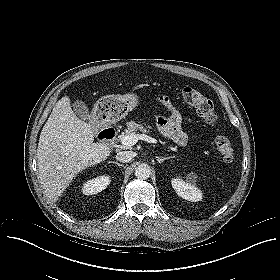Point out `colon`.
Returning a JSON list of instances; mask_svg holds the SVG:
<instances>
[{
    "label": "colon",
    "instance_id": "obj_1",
    "mask_svg": "<svg viewBox=\"0 0 280 280\" xmlns=\"http://www.w3.org/2000/svg\"><path fill=\"white\" fill-rule=\"evenodd\" d=\"M183 101L193 106L203 121L215 129L214 143L221 159L225 163H231L234 160L235 152L228 136L218 129L219 117L215 106L211 100L202 95L192 87H184L181 91Z\"/></svg>",
    "mask_w": 280,
    "mask_h": 280
}]
</instances>
